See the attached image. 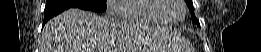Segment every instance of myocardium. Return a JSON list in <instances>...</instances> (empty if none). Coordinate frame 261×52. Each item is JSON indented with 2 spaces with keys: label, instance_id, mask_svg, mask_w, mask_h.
<instances>
[{
  "label": "myocardium",
  "instance_id": "obj_1",
  "mask_svg": "<svg viewBox=\"0 0 261 52\" xmlns=\"http://www.w3.org/2000/svg\"><path fill=\"white\" fill-rule=\"evenodd\" d=\"M160 2H161V7L159 8V12L167 24H179L184 20L187 9H186L185 2L183 0H176L175 2H172L170 0H160ZM174 5L180 6L183 11V14L180 19L172 21L167 19L165 15L167 11L173 8Z\"/></svg>",
  "mask_w": 261,
  "mask_h": 52
}]
</instances>
